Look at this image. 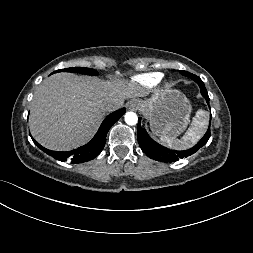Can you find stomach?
Returning a JSON list of instances; mask_svg holds the SVG:
<instances>
[{"label": "stomach", "instance_id": "obj_1", "mask_svg": "<svg viewBox=\"0 0 253 253\" xmlns=\"http://www.w3.org/2000/svg\"><path fill=\"white\" fill-rule=\"evenodd\" d=\"M136 101L155 135L176 138L189 123L192 108L186 96L178 90L166 89L150 99Z\"/></svg>", "mask_w": 253, "mask_h": 253}]
</instances>
